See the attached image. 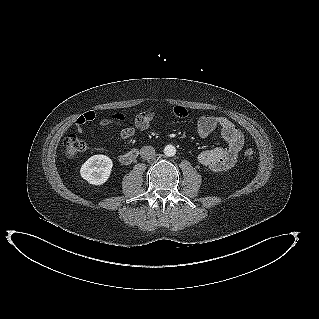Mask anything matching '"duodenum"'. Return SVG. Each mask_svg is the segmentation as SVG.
I'll return each mask as SVG.
<instances>
[{
	"instance_id": "duodenum-1",
	"label": "duodenum",
	"mask_w": 319,
	"mask_h": 319,
	"mask_svg": "<svg viewBox=\"0 0 319 319\" xmlns=\"http://www.w3.org/2000/svg\"><path fill=\"white\" fill-rule=\"evenodd\" d=\"M137 155H138V152L136 150H131V151L123 154L120 157V160L123 164H130L131 162H133L136 159Z\"/></svg>"
}]
</instances>
